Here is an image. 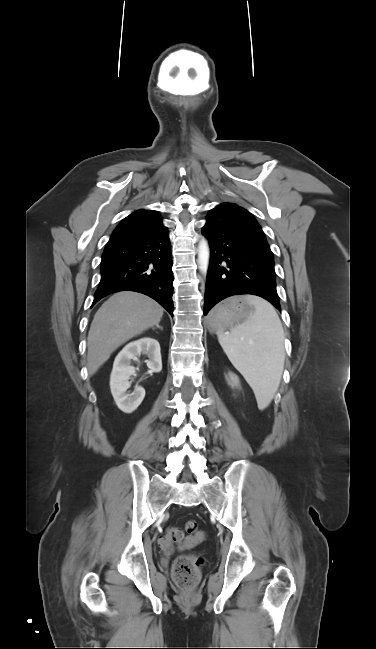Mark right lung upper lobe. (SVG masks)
<instances>
[{"instance_id":"obj_1","label":"right lung upper lobe","mask_w":376,"mask_h":649,"mask_svg":"<svg viewBox=\"0 0 376 649\" xmlns=\"http://www.w3.org/2000/svg\"><path fill=\"white\" fill-rule=\"evenodd\" d=\"M166 228L154 210H138L127 216L113 231L107 245L118 244L133 238L153 234Z\"/></svg>"}]
</instances>
